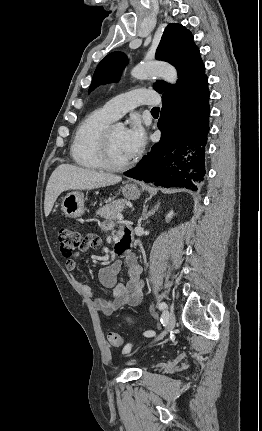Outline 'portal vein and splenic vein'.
I'll return each instance as SVG.
<instances>
[{
    "label": "portal vein and splenic vein",
    "mask_w": 262,
    "mask_h": 431,
    "mask_svg": "<svg viewBox=\"0 0 262 431\" xmlns=\"http://www.w3.org/2000/svg\"><path fill=\"white\" fill-rule=\"evenodd\" d=\"M117 219L120 220V221H123L124 217H123L122 214H118Z\"/></svg>",
    "instance_id": "1"
}]
</instances>
